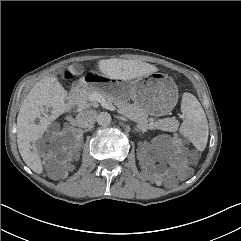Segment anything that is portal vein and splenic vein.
Here are the masks:
<instances>
[{
	"label": "portal vein and splenic vein",
	"mask_w": 241,
	"mask_h": 241,
	"mask_svg": "<svg viewBox=\"0 0 241 241\" xmlns=\"http://www.w3.org/2000/svg\"><path fill=\"white\" fill-rule=\"evenodd\" d=\"M94 98H95L96 101L100 102L102 104V106L105 107L106 109L115 110L114 106L108 104L105 101V99L102 98L101 96L96 95ZM150 125H153V123L150 124Z\"/></svg>",
	"instance_id": "1"
}]
</instances>
